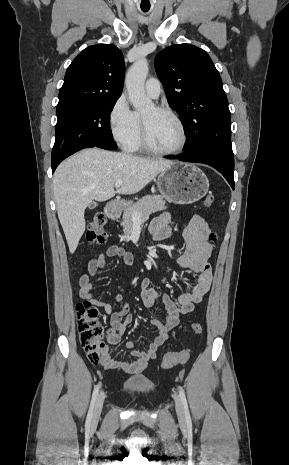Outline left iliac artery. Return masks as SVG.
I'll list each match as a JSON object with an SVG mask.
<instances>
[{
    "label": "left iliac artery",
    "mask_w": 289,
    "mask_h": 465,
    "mask_svg": "<svg viewBox=\"0 0 289 465\" xmlns=\"http://www.w3.org/2000/svg\"><path fill=\"white\" fill-rule=\"evenodd\" d=\"M178 389H179V396L181 398V401H182V404H183V407H184L186 422H187L188 425H191V417H190V413H189V409H188V404H187L185 392H184V390H183V388L181 386H179Z\"/></svg>",
    "instance_id": "44dca946"
}]
</instances>
